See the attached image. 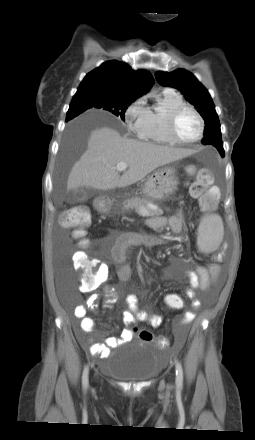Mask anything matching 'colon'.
<instances>
[{"label": "colon", "mask_w": 255, "mask_h": 440, "mask_svg": "<svg viewBox=\"0 0 255 440\" xmlns=\"http://www.w3.org/2000/svg\"><path fill=\"white\" fill-rule=\"evenodd\" d=\"M188 173L195 175V181L190 185V194L194 198H198L204 209L212 210L216 206L218 193L211 187L213 183L212 172L207 168L195 169L190 167ZM91 221L90 209L85 205L73 206L65 210L60 216V224L62 227L72 230L76 236L82 237ZM74 269L82 273L80 282L81 290H92L96 286V277L98 269L94 260H92L83 251H78L73 256ZM163 306H167L168 311H184V298H163ZM142 341L151 342L154 335L144 329L135 328ZM157 344L162 351H169L172 342L166 338L165 334H157Z\"/></svg>", "instance_id": "1"}]
</instances>
